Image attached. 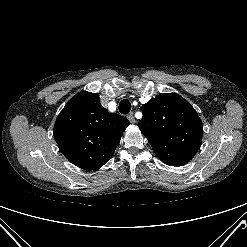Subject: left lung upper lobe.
<instances>
[{
	"label": "left lung upper lobe",
	"mask_w": 247,
	"mask_h": 247,
	"mask_svg": "<svg viewBox=\"0 0 247 247\" xmlns=\"http://www.w3.org/2000/svg\"><path fill=\"white\" fill-rule=\"evenodd\" d=\"M139 129L161 161L182 166L197 153L203 125L192 105L176 93L161 94L142 106Z\"/></svg>",
	"instance_id": "left-lung-upper-lobe-1"
}]
</instances>
